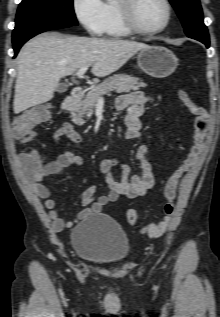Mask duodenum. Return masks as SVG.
Returning a JSON list of instances; mask_svg holds the SVG:
<instances>
[{
  "instance_id": "1",
  "label": "duodenum",
  "mask_w": 220,
  "mask_h": 317,
  "mask_svg": "<svg viewBox=\"0 0 220 317\" xmlns=\"http://www.w3.org/2000/svg\"><path fill=\"white\" fill-rule=\"evenodd\" d=\"M84 88L83 87H75L70 95L63 101L62 103V112L64 114H68L75 109L77 102L83 97L84 95Z\"/></svg>"
}]
</instances>
